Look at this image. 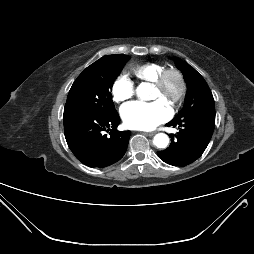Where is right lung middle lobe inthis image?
I'll list each match as a JSON object with an SVG mask.
<instances>
[{
	"label": "right lung middle lobe",
	"mask_w": 254,
	"mask_h": 254,
	"mask_svg": "<svg viewBox=\"0 0 254 254\" xmlns=\"http://www.w3.org/2000/svg\"><path fill=\"white\" fill-rule=\"evenodd\" d=\"M129 59L104 56L91 64L73 83L65 105L97 114L115 113L109 90Z\"/></svg>",
	"instance_id": "obj_1"
}]
</instances>
